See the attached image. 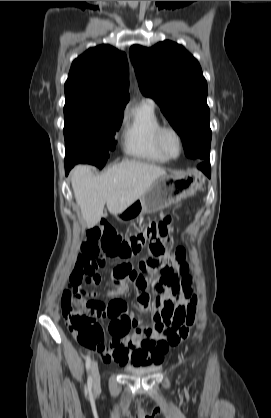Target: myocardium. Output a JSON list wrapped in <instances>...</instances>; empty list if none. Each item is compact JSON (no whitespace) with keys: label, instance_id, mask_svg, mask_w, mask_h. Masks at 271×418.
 I'll list each match as a JSON object with an SVG mask.
<instances>
[{"label":"myocardium","instance_id":"obj_1","mask_svg":"<svg viewBox=\"0 0 271 418\" xmlns=\"http://www.w3.org/2000/svg\"><path fill=\"white\" fill-rule=\"evenodd\" d=\"M167 133H171L175 136L176 140H177V145H178V149H177V153L172 155L170 153L167 152V150L164 147L163 144V137L165 134ZM155 143L156 146L158 148V150L167 158V159H175L177 158L183 149V141H182V136L180 134V132L173 126L170 125H161L155 133Z\"/></svg>","mask_w":271,"mask_h":418}]
</instances>
